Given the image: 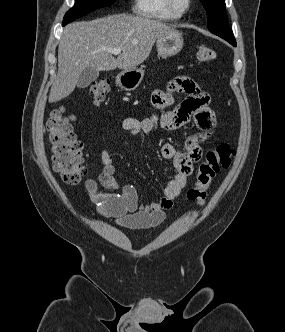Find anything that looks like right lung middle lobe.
<instances>
[{"mask_svg": "<svg viewBox=\"0 0 285 332\" xmlns=\"http://www.w3.org/2000/svg\"><path fill=\"white\" fill-rule=\"evenodd\" d=\"M115 0H75V5L64 16L63 26L80 18L87 13L102 7L109 6Z\"/></svg>", "mask_w": 285, "mask_h": 332, "instance_id": "right-lung-middle-lobe-1", "label": "right lung middle lobe"}]
</instances>
